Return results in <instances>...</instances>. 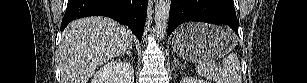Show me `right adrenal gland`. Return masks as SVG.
Masks as SVG:
<instances>
[{"mask_svg":"<svg viewBox=\"0 0 307 83\" xmlns=\"http://www.w3.org/2000/svg\"><path fill=\"white\" fill-rule=\"evenodd\" d=\"M131 50H132V47L129 48L126 52L122 53L120 56L122 57L126 54L127 56L131 57Z\"/></svg>","mask_w":307,"mask_h":83,"instance_id":"1","label":"right adrenal gland"}]
</instances>
